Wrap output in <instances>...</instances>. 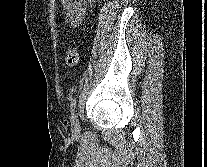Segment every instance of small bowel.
Instances as JSON below:
<instances>
[{"label":"small bowel","instance_id":"1","mask_svg":"<svg viewBox=\"0 0 207 167\" xmlns=\"http://www.w3.org/2000/svg\"><path fill=\"white\" fill-rule=\"evenodd\" d=\"M96 0H61L62 12L66 21L78 25L92 8Z\"/></svg>","mask_w":207,"mask_h":167}]
</instances>
